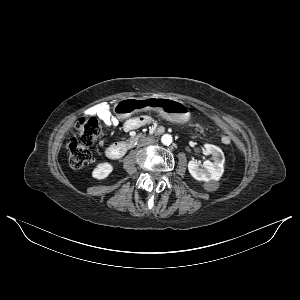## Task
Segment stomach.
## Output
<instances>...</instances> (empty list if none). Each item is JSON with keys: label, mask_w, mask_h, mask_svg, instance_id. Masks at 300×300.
Masks as SVG:
<instances>
[{"label": "stomach", "mask_w": 300, "mask_h": 300, "mask_svg": "<svg viewBox=\"0 0 300 300\" xmlns=\"http://www.w3.org/2000/svg\"><path fill=\"white\" fill-rule=\"evenodd\" d=\"M139 110H154L162 117L174 122H187L189 107L182 101L166 97L125 98L114 104V112L119 118H127Z\"/></svg>", "instance_id": "0dacf381"}]
</instances>
